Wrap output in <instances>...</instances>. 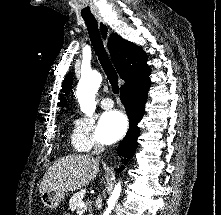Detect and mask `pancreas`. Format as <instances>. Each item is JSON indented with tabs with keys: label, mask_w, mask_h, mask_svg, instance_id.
<instances>
[{
	"label": "pancreas",
	"mask_w": 221,
	"mask_h": 215,
	"mask_svg": "<svg viewBox=\"0 0 221 215\" xmlns=\"http://www.w3.org/2000/svg\"><path fill=\"white\" fill-rule=\"evenodd\" d=\"M84 195H85V192H77L75 193L70 201H69V208L71 210H76V211H79L81 208L79 206L80 202L83 200L84 198Z\"/></svg>",
	"instance_id": "1"
}]
</instances>
